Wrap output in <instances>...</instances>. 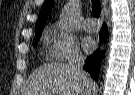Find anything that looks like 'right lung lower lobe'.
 <instances>
[{
	"label": "right lung lower lobe",
	"instance_id": "1",
	"mask_svg": "<svg viewBox=\"0 0 135 95\" xmlns=\"http://www.w3.org/2000/svg\"><path fill=\"white\" fill-rule=\"evenodd\" d=\"M107 35H108V29L105 25H103L102 30L100 32L101 41H105ZM102 57L103 55L100 54L99 49H97L85 61L84 69L90 73V75L94 80L98 79Z\"/></svg>",
	"mask_w": 135,
	"mask_h": 95
}]
</instances>
